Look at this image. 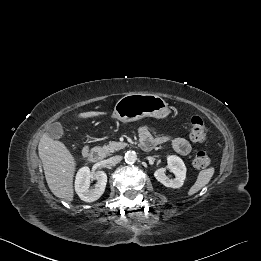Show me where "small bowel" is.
Segmentation results:
<instances>
[{
    "label": "small bowel",
    "instance_id": "c3829d8e",
    "mask_svg": "<svg viewBox=\"0 0 261 261\" xmlns=\"http://www.w3.org/2000/svg\"><path fill=\"white\" fill-rule=\"evenodd\" d=\"M141 142L149 143L151 146L166 142L169 138L167 136H153L147 127L140 129ZM172 147L176 153L182 156H187L192 151V144L184 137H177L172 139Z\"/></svg>",
    "mask_w": 261,
    "mask_h": 261
}]
</instances>
